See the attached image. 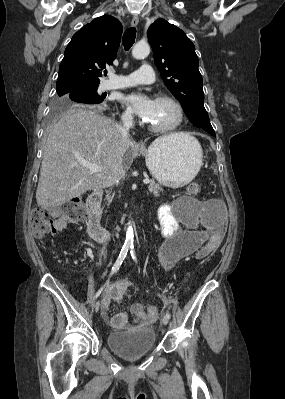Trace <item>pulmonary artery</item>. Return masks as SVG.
<instances>
[{"label":"pulmonary artery","instance_id":"pulmonary-artery-1","mask_svg":"<svg viewBox=\"0 0 285 399\" xmlns=\"http://www.w3.org/2000/svg\"><path fill=\"white\" fill-rule=\"evenodd\" d=\"M154 80L153 71L148 64H143L138 70L128 74H113L104 82L105 90L121 89L138 84L150 83Z\"/></svg>","mask_w":285,"mask_h":399}]
</instances>
